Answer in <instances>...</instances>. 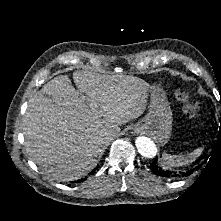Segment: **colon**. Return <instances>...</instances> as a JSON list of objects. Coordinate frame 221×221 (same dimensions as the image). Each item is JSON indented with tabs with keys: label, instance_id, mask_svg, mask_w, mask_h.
<instances>
[{
	"label": "colon",
	"instance_id": "obj_1",
	"mask_svg": "<svg viewBox=\"0 0 221 221\" xmlns=\"http://www.w3.org/2000/svg\"><path fill=\"white\" fill-rule=\"evenodd\" d=\"M178 98L182 101L184 112L188 117H195L201 111V103L185 91H178Z\"/></svg>",
	"mask_w": 221,
	"mask_h": 221
}]
</instances>
